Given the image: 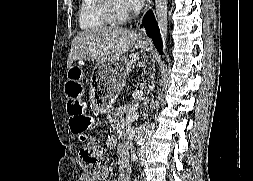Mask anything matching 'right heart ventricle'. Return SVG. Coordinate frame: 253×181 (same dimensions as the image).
Listing matches in <instances>:
<instances>
[{"label":"right heart ventricle","mask_w":253,"mask_h":181,"mask_svg":"<svg viewBox=\"0 0 253 181\" xmlns=\"http://www.w3.org/2000/svg\"><path fill=\"white\" fill-rule=\"evenodd\" d=\"M78 20L84 31L96 30L110 23L102 12L101 0H80Z\"/></svg>","instance_id":"right-heart-ventricle-1"}]
</instances>
